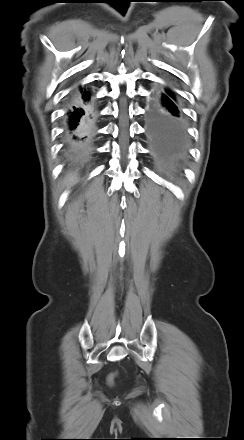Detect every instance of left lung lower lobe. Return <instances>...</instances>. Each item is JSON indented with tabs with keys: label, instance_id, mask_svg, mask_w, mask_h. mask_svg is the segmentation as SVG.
I'll use <instances>...</instances> for the list:
<instances>
[{
	"label": "left lung lower lobe",
	"instance_id": "left-lung-lower-lobe-1",
	"mask_svg": "<svg viewBox=\"0 0 244 440\" xmlns=\"http://www.w3.org/2000/svg\"><path fill=\"white\" fill-rule=\"evenodd\" d=\"M146 136L155 158L178 169L188 149L187 122L177 98L166 89L155 91L149 101Z\"/></svg>",
	"mask_w": 244,
	"mask_h": 440
}]
</instances>
